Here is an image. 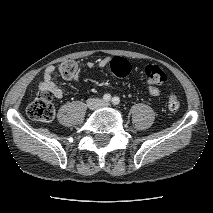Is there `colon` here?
I'll return each instance as SVG.
<instances>
[{"label": "colon", "mask_w": 213, "mask_h": 213, "mask_svg": "<svg viewBox=\"0 0 213 213\" xmlns=\"http://www.w3.org/2000/svg\"><path fill=\"white\" fill-rule=\"evenodd\" d=\"M110 68L117 77H127L131 71L130 63L123 58H113ZM61 75L66 79L74 78L78 73L77 63L67 60L59 66ZM144 75L147 83L153 87L165 85L168 82L167 74L155 64H147L144 68ZM53 95L49 91H42L29 104L27 114L30 118L49 123L54 119L55 109L52 103ZM169 110L175 112L180 108V100L177 95H170L168 98Z\"/></svg>", "instance_id": "obj_1"}]
</instances>
